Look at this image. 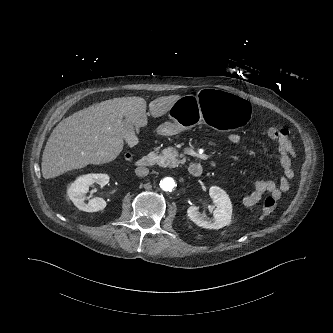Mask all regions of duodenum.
Returning a JSON list of instances; mask_svg holds the SVG:
<instances>
[{"label": "duodenum", "mask_w": 333, "mask_h": 333, "mask_svg": "<svg viewBox=\"0 0 333 333\" xmlns=\"http://www.w3.org/2000/svg\"><path fill=\"white\" fill-rule=\"evenodd\" d=\"M154 164H155V157L153 155L141 157L137 161V166L139 169L151 167ZM188 171L191 176L199 177L203 172V168L199 162H192L188 167Z\"/></svg>", "instance_id": "obj_1"}]
</instances>
